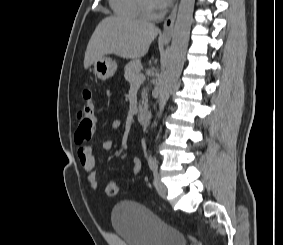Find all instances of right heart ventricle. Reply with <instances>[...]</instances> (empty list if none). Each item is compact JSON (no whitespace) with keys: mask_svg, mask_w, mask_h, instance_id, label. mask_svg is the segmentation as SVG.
<instances>
[{"mask_svg":"<svg viewBox=\"0 0 283 245\" xmlns=\"http://www.w3.org/2000/svg\"><path fill=\"white\" fill-rule=\"evenodd\" d=\"M112 10L122 16L137 17L140 15L137 0H109Z\"/></svg>","mask_w":283,"mask_h":245,"instance_id":"1","label":"right heart ventricle"}]
</instances>
